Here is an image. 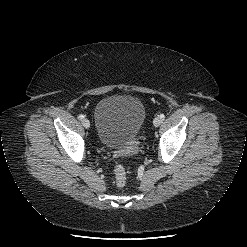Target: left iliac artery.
<instances>
[{
  "label": "left iliac artery",
  "mask_w": 247,
  "mask_h": 247,
  "mask_svg": "<svg viewBox=\"0 0 247 247\" xmlns=\"http://www.w3.org/2000/svg\"><path fill=\"white\" fill-rule=\"evenodd\" d=\"M160 118H161V119H164V118H165V115H164V114H161V115H160Z\"/></svg>",
  "instance_id": "left-iliac-artery-1"
}]
</instances>
